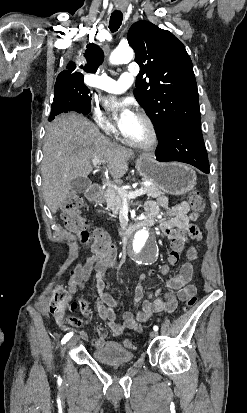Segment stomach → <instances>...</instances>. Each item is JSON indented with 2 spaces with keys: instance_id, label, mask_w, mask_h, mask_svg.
I'll list each match as a JSON object with an SVG mask.
<instances>
[{
  "instance_id": "stomach-1",
  "label": "stomach",
  "mask_w": 247,
  "mask_h": 413,
  "mask_svg": "<svg viewBox=\"0 0 247 413\" xmlns=\"http://www.w3.org/2000/svg\"><path fill=\"white\" fill-rule=\"evenodd\" d=\"M136 168L141 176L168 194H185L197 184L194 168L183 162H158L154 156L141 154L136 158ZM104 200L103 194H99L98 202Z\"/></svg>"
}]
</instances>
